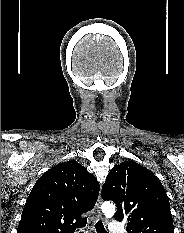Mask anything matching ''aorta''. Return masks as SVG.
Instances as JSON below:
<instances>
[{
	"label": "aorta",
	"mask_w": 184,
	"mask_h": 233,
	"mask_svg": "<svg viewBox=\"0 0 184 233\" xmlns=\"http://www.w3.org/2000/svg\"><path fill=\"white\" fill-rule=\"evenodd\" d=\"M101 209L102 212L107 216L112 217L115 214V206L110 201L104 202L101 206Z\"/></svg>",
	"instance_id": "obj_1"
}]
</instances>
